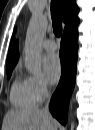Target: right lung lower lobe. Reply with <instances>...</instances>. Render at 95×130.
I'll use <instances>...</instances> for the list:
<instances>
[{
	"mask_svg": "<svg viewBox=\"0 0 95 130\" xmlns=\"http://www.w3.org/2000/svg\"><path fill=\"white\" fill-rule=\"evenodd\" d=\"M77 50V30L63 34L60 48L62 74L49 108L52 115L64 125L66 124L69 98L75 84Z\"/></svg>",
	"mask_w": 95,
	"mask_h": 130,
	"instance_id": "obj_1",
	"label": "right lung lower lobe"
}]
</instances>
